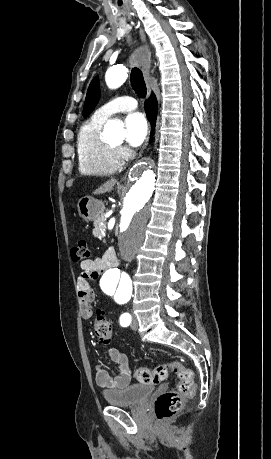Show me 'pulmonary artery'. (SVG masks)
Wrapping results in <instances>:
<instances>
[{"mask_svg": "<svg viewBox=\"0 0 271 459\" xmlns=\"http://www.w3.org/2000/svg\"><path fill=\"white\" fill-rule=\"evenodd\" d=\"M136 107L137 103L135 102V98L119 95L117 98L110 100L97 109L94 113V117L104 121L115 113L130 112L136 109Z\"/></svg>", "mask_w": 271, "mask_h": 459, "instance_id": "e3ab8cb5", "label": "pulmonary artery"}]
</instances>
